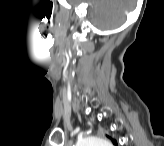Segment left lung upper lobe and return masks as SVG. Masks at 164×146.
<instances>
[{
    "instance_id": "1",
    "label": "left lung upper lobe",
    "mask_w": 164,
    "mask_h": 146,
    "mask_svg": "<svg viewBox=\"0 0 164 146\" xmlns=\"http://www.w3.org/2000/svg\"><path fill=\"white\" fill-rule=\"evenodd\" d=\"M114 144H117L115 140H112Z\"/></svg>"
}]
</instances>
